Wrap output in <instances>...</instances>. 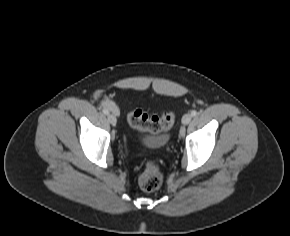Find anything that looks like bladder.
Listing matches in <instances>:
<instances>
[{"label": "bladder", "mask_w": 290, "mask_h": 236, "mask_svg": "<svg viewBox=\"0 0 290 236\" xmlns=\"http://www.w3.org/2000/svg\"><path fill=\"white\" fill-rule=\"evenodd\" d=\"M167 136L165 135H156V136H144L141 139V144L147 149H158L162 148L167 143Z\"/></svg>", "instance_id": "31cf9c89"}]
</instances>
